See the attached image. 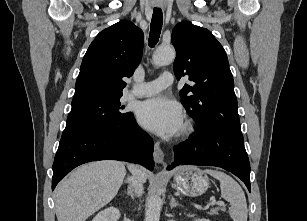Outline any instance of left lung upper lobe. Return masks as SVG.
Segmentation results:
<instances>
[{
	"mask_svg": "<svg viewBox=\"0 0 307 221\" xmlns=\"http://www.w3.org/2000/svg\"><path fill=\"white\" fill-rule=\"evenodd\" d=\"M171 41L176 49V78L189 76L192 82L180 91L181 102L199 131L216 129L243 139L224 48L209 30L188 21L174 27Z\"/></svg>",
	"mask_w": 307,
	"mask_h": 221,
	"instance_id": "1",
	"label": "left lung upper lobe"
}]
</instances>
